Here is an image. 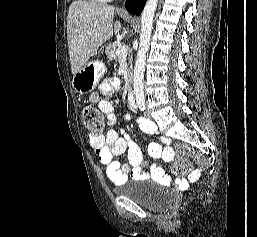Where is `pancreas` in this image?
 Here are the masks:
<instances>
[{"instance_id": "1", "label": "pancreas", "mask_w": 257, "mask_h": 237, "mask_svg": "<svg viewBox=\"0 0 257 237\" xmlns=\"http://www.w3.org/2000/svg\"><path fill=\"white\" fill-rule=\"evenodd\" d=\"M121 47V43L119 41H113L111 42L108 47L106 48V55L109 59L111 60H116L117 55H116V50ZM129 65L130 69L132 68V57H131V52H129ZM130 74V72H129Z\"/></svg>"}]
</instances>
